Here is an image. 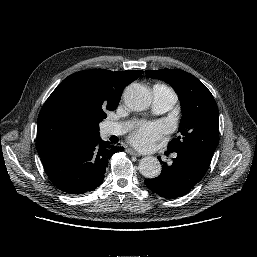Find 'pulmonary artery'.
Instances as JSON below:
<instances>
[{"mask_svg":"<svg viewBox=\"0 0 257 257\" xmlns=\"http://www.w3.org/2000/svg\"><path fill=\"white\" fill-rule=\"evenodd\" d=\"M153 94V112L162 114L174 106L176 102L175 93L164 85H155L152 89ZM125 131V126L118 123H110L106 126L108 135H120Z\"/></svg>","mask_w":257,"mask_h":257,"instance_id":"pulmonary-artery-1","label":"pulmonary artery"}]
</instances>
